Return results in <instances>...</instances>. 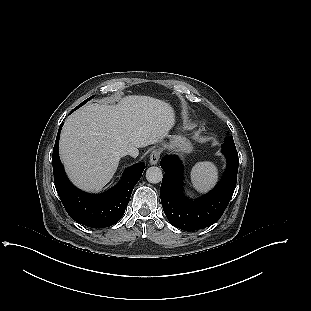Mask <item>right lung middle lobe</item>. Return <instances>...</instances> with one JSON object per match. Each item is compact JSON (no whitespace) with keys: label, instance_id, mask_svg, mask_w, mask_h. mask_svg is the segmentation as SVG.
I'll return each mask as SVG.
<instances>
[{"label":"right lung middle lobe","instance_id":"right-lung-middle-lobe-1","mask_svg":"<svg viewBox=\"0 0 311 311\" xmlns=\"http://www.w3.org/2000/svg\"><path fill=\"white\" fill-rule=\"evenodd\" d=\"M94 96H91L90 98H88L87 100H85L84 102H82L78 107H80L81 105L85 104L88 100H90L91 98H93ZM77 107V108H78Z\"/></svg>","mask_w":311,"mask_h":311}]
</instances>
